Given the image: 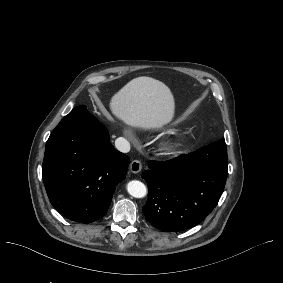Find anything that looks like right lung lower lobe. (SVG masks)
Returning a JSON list of instances; mask_svg holds the SVG:
<instances>
[{"instance_id": "1", "label": "right lung lower lobe", "mask_w": 283, "mask_h": 283, "mask_svg": "<svg viewBox=\"0 0 283 283\" xmlns=\"http://www.w3.org/2000/svg\"><path fill=\"white\" fill-rule=\"evenodd\" d=\"M128 163L94 116L62 119L46 143L42 166L49 200L73 221H96L109 208Z\"/></svg>"}]
</instances>
